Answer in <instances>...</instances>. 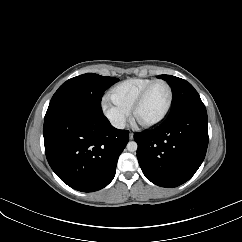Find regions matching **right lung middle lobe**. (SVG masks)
<instances>
[{
	"instance_id": "obj_1",
	"label": "right lung middle lobe",
	"mask_w": 242,
	"mask_h": 242,
	"mask_svg": "<svg viewBox=\"0 0 242 242\" xmlns=\"http://www.w3.org/2000/svg\"><path fill=\"white\" fill-rule=\"evenodd\" d=\"M119 79L86 73L63 83L53 95L45 116L66 110H83L101 115L104 91Z\"/></svg>"
}]
</instances>
